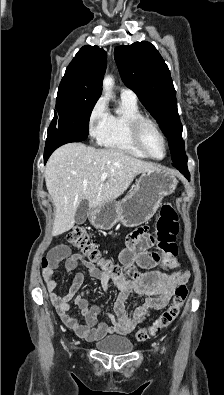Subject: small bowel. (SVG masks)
I'll list each match as a JSON object with an SVG mask.
<instances>
[{"instance_id": "small-bowel-1", "label": "small bowel", "mask_w": 224, "mask_h": 395, "mask_svg": "<svg viewBox=\"0 0 224 395\" xmlns=\"http://www.w3.org/2000/svg\"><path fill=\"white\" fill-rule=\"evenodd\" d=\"M153 243L150 234L145 228L133 231L127 238L126 248L119 255V262L123 269L131 275L129 280H121L106 272L101 271L94 264L85 260L82 254H71L67 245L61 244L54 247L49 257L51 264L42 270V276L49 293V297L55 306L61 320L75 333L88 340L98 341L107 335H128L134 332L136 327L147 317L150 310H160L166 307L175 289L180 284H185L189 279L187 271L180 270L177 259H172V272H161L153 268L157 264V255L148 251ZM64 260L67 272L76 270L79 264H83L91 277L99 281L100 287L106 291L110 283H114L119 294L114 304L113 313L107 314L108 322L100 320V307L91 305L87 299L88 291H80L84 281V274L77 272L72 284L65 295L55 292L57 281L55 274L58 272V264ZM137 267L149 269L147 272L138 271ZM131 292L140 296H146L143 305L137 307L133 313H128L127 302ZM74 300L85 319L80 323L69 312L70 301Z\"/></svg>"}]
</instances>
